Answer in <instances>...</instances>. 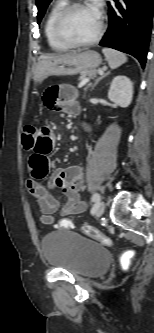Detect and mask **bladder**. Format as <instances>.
<instances>
[{"label":"bladder","mask_w":154,"mask_h":333,"mask_svg":"<svg viewBox=\"0 0 154 333\" xmlns=\"http://www.w3.org/2000/svg\"><path fill=\"white\" fill-rule=\"evenodd\" d=\"M40 246L48 265L76 276L100 275L110 260L108 248L72 230L48 233Z\"/></svg>","instance_id":"1"}]
</instances>
